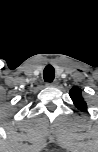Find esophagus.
<instances>
[{
  "mask_svg": "<svg viewBox=\"0 0 98 152\" xmlns=\"http://www.w3.org/2000/svg\"><path fill=\"white\" fill-rule=\"evenodd\" d=\"M57 84H58L57 81H54V82H47V83H46V86H48V87H55Z\"/></svg>",
  "mask_w": 98,
  "mask_h": 152,
  "instance_id": "esophagus-1",
  "label": "esophagus"
}]
</instances>
